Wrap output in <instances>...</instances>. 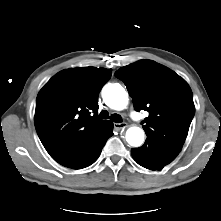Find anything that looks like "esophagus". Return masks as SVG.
Listing matches in <instances>:
<instances>
[{
  "instance_id": "34e87169",
  "label": "esophagus",
  "mask_w": 221,
  "mask_h": 221,
  "mask_svg": "<svg viewBox=\"0 0 221 221\" xmlns=\"http://www.w3.org/2000/svg\"><path fill=\"white\" fill-rule=\"evenodd\" d=\"M127 127V123L123 122V123H115L114 124V128L115 130L119 131L121 129H125Z\"/></svg>"
}]
</instances>
